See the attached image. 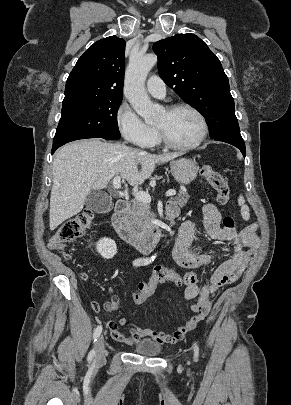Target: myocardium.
<instances>
[{"instance_id":"1","label":"myocardium","mask_w":291,"mask_h":405,"mask_svg":"<svg viewBox=\"0 0 291 405\" xmlns=\"http://www.w3.org/2000/svg\"><path fill=\"white\" fill-rule=\"evenodd\" d=\"M181 109L189 110L198 117V119L201 123V133H200L199 137L197 138V140H195L193 143L186 144V145L174 143L167 137L165 132L159 127H156L157 137H158L159 142L169 149L179 150V151L193 150V149L197 148L198 146H200L205 141V139L208 135V132H209L208 122H207V119L204 116V114L198 108H196L195 106L188 104V103H175V104L167 106L165 110L168 113H172V112H175V111L181 110Z\"/></svg>"}]
</instances>
